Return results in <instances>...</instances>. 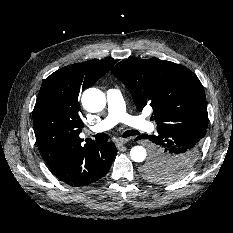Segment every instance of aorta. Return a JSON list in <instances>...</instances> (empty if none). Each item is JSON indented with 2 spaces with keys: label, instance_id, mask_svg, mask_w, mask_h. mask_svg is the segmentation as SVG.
<instances>
[{
  "label": "aorta",
  "instance_id": "762f6f07",
  "mask_svg": "<svg viewBox=\"0 0 233 233\" xmlns=\"http://www.w3.org/2000/svg\"><path fill=\"white\" fill-rule=\"evenodd\" d=\"M82 105L89 112H100L106 105V97L102 91L89 88L83 92ZM146 150L142 146H134L130 151L131 159L135 162H143L146 158Z\"/></svg>",
  "mask_w": 233,
  "mask_h": 233
}]
</instances>
